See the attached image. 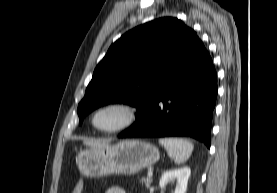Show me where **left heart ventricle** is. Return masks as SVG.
<instances>
[{"label":"left heart ventricle","mask_w":277,"mask_h":193,"mask_svg":"<svg viewBox=\"0 0 277 193\" xmlns=\"http://www.w3.org/2000/svg\"><path fill=\"white\" fill-rule=\"evenodd\" d=\"M124 118V114L118 109H106L99 112L95 117V124L99 128L108 129L119 124Z\"/></svg>","instance_id":"1"}]
</instances>
